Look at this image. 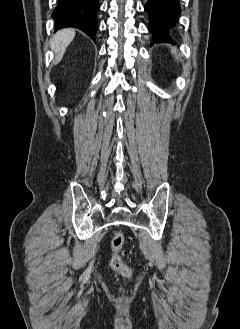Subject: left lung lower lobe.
Returning <instances> with one entry per match:
<instances>
[{
  "label": "left lung lower lobe",
  "mask_w": 240,
  "mask_h": 329,
  "mask_svg": "<svg viewBox=\"0 0 240 329\" xmlns=\"http://www.w3.org/2000/svg\"><path fill=\"white\" fill-rule=\"evenodd\" d=\"M145 11L149 15L148 30L154 42L172 43L171 30L176 26L181 12L179 0H148Z\"/></svg>",
  "instance_id": "1"
}]
</instances>
